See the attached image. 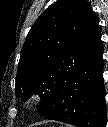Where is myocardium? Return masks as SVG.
I'll list each match as a JSON object with an SVG mask.
<instances>
[{"label": "myocardium", "mask_w": 108, "mask_h": 127, "mask_svg": "<svg viewBox=\"0 0 108 127\" xmlns=\"http://www.w3.org/2000/svg\"><path fill=\"white\" fill-rule=\"evenodd\" d=\"M37 103H38V96L31 95L26 99L24 106L29 109L34 107Z\"/></svg>", "instance_id": "f54148a6"}]
</instances>
